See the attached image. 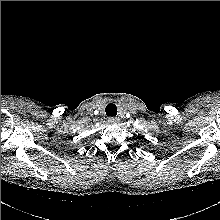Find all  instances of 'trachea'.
<instances>
[{"mask_svg": "<svg viewBox=\"0 0 220 220\" xmlns=\"http://www.w3.org/2000/svg\"><path fill=\"white\" fill-rule=\"evenodd\" d=\"M105 112L107 116L115 117L117 115V106L113 103H109L105 108Z\"/></svg>", "mask_w": 220, "mask_h": 220, "instance_id": "3493384b", "label": "trachea"}]
</instances>
